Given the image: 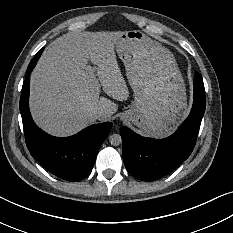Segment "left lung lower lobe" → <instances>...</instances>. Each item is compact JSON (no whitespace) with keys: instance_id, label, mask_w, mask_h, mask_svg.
<instances>
[{"instance_id":"0a47b994","label":"left lung lower lobe","mask_w":233,"mask_h":233,"mask_svg":"<svg viewBox=\"0 0 233 233\" xmlns=\"http://www.w3.org/2000/svg\"><path fill=\"white\" fill-rule=\"evenodd\" d=\"M205 107L203 79L195 72L192 110L174 134L157 140L121 127L123 160L127 171L137 179L154 181L176 169L194 149Z\"/></svg>"}]
</instances>
